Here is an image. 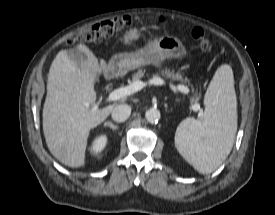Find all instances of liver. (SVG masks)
<instances>
[{
    "label": "liver",
    "instance_id": "6515ba94",
    "mask_svg": "<svg viewBox=\"0 0 275 215\" xmlns=\"http://www.w3.org/2000/svg\"><path fill=\"white\" fill-rule=\"evenodd\" d=\"M139 37L138 30L131 29L123 41L130 45ZM75 49L85 56L80 61L69 51L61 50L51 64L43 108V132L47 147L57 160L66 166L80 168L85 165L90 130L101 124L116 105L103 109L93 106L95 82L99 75L108 71V65L104 59L98 61L84 44Z\"/></svg>",
    "mask_w": 275,
    "mask_h": 215
}]
</instances>
